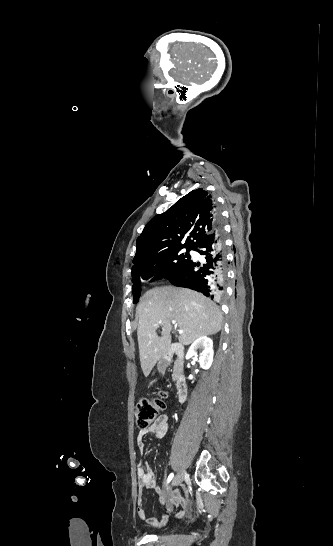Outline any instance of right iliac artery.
Segmentation results:
<instances>
[{
  "mask_svg": "<svg viewBox=\"0 0 333 546\" xmlns=\"http://www.w3.org/2000/svg\"><path fill=\"white\" fill-rule=\"evenodd\" d=\"M173 476H174L173 473H171V474L168 476L166 485H167L168 483H170V481L173 479Z\"/></svg>",
  "mask_w": 333,
  "mask_h": 546,
  "instance_id": "82829eb1",
  "label": "right iliac artery"
}]
</instances>
